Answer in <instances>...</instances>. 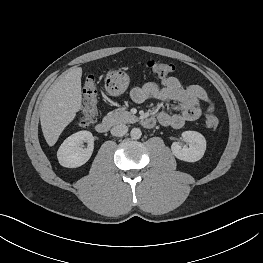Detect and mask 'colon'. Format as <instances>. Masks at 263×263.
Here are the masks:
<instances>
[{"mask_svg": "<svg viewBox=\"0 0 263 263\" xmlns=\"http://www.w3.org/2000/svg\"><path fill=\"white\" fill-rule=\"evenodd\" d=\"M146 67L158 77H168L171 75L175 67L171 63L148 60ZM82 95L84 99L83 107L79 114L80 123L84 126L94 124L98 119V90L94 76H88L82 85ZM206 125L211 130H217L219 127L218 119L211 113L206 112Z\"/></svg>", "mask_w": 263, "mask_h": 263, "instance_id": "obj_1", "label": "colon"}]
</instances>
